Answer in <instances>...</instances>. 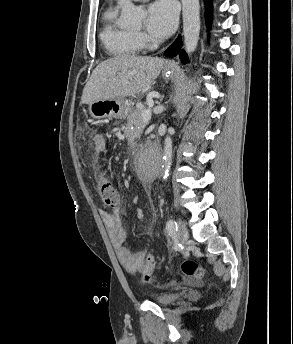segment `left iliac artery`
<instances>
[{"label": "left iliac artery", "instance_id": "left-iliac-artery-1", "mask_svg": "<svg viewBox=\"0 0 293 344\" xmlns=\"http://www.w3.org/2000/svg\"><path fill=\"white\" fill-rule=\"evenodd\" d=\"M166 230L169 234H173L178 230V225L175 220L169 219L166 224Z\"/></svg>", "mask_w": 293, "mask_h": 344}]
</instances>
